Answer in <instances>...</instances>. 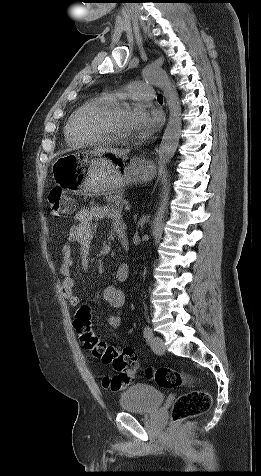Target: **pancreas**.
I'll return each mask as SVG.
<instances>
[{"instance_id":"pancreas-1","label":"pancreas","mask_w":261,"mask_h":476,"mask_svg":"<svg viewBox=\"0 0 261 476\" xmlns=\"http://www.w3.org/2000/svg\"><path fill=\"white\" fill-rule=\"evenodd\" d=\"M107 200L108 202H110L114 207H117L118 209H122L123 205H124V198L122 196V194L120 193H116L114 195H109L107 197Z\"/></svg>"}]
</instances>
